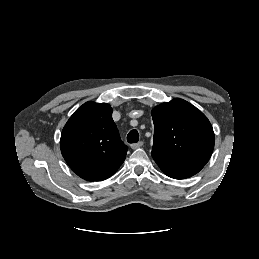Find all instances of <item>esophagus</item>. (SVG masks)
Returning a JSON list of instances; mask_svg holds the SVG:
<instances>
[{"label":"esophagus","instance_id":"1","mask_svg":"<svg viewBox=\"0 0 259 259\" xmlns=\"http://www.w3.org/2000/svg\"><path fill=\"white\" fill-rule=\"evenodd\" d=\"M143 146V142L142 141H139L138 143H134L131 145V148L132 149H137V148H140Z\"/></svg>","mask_w":259,"mask_h":259}]
</instances>
